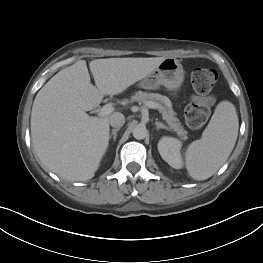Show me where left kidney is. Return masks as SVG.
<instances>
[{
    "label": "left kidney",
    "instance_id": "left-kidney-1",
    "mask_svg": "<svg viewBox=\"0 0 263 263\" xmlns=\"http://www.w3.org/2000/svg\"><path fill=\"white\" fill-rule=\"evenodd\" d=\"M158 151L164 161L171 167L180 169L183 166L181 156L182 143L173 137H163L158 142Z\"/></svg>",
    "mask_w": 263,
    "mask_h": 263
}]
</instances>
